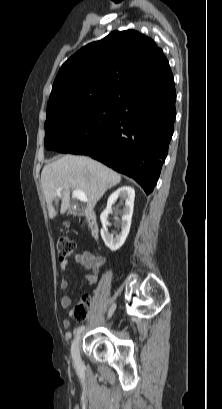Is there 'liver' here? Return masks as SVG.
<instances>
[{
	"mask_svg": "<svg viewBox=\"0 0 222 409\" xmlns=\"http://www.w3.org/2000/svg\"><path fill=\"white\" fill-rule=\"evenodd\" d=\"M120 181L118 173L89 157L66 155L45 165L41 173V184L49 217L53 219L57 214L52 205L57 198L61 199L60 212L64 214L67 211L70 189L86 194V212L90 214L105 192ZM59 188L61 191H58Z\"/></svg>",
	"mask_w": 222,
	"mask_h": 409,
	"instance_id": "6515ba94",
	"label": "liver"
}]
</instances>
